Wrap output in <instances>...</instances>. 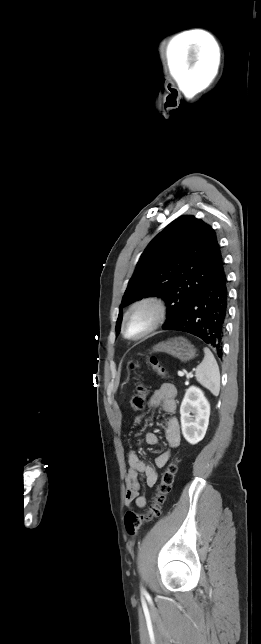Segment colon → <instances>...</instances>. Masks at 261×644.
<instances>
[{
    "mask_svg": "<svg viewBox=\"0 0 261 644\" xmlns=\"http://www.w3.org/2000/svg\"><path fill=\"white\" fill-rule=\"evenodd\" d=\"M146 364L153 369L160 376H167L165 368L159 363L157 357L150 356L146 360ZM134 369L139 368V364L133 365ZM147 386L140 380L136 384V392L131 398L130 406L134 411L144 409L146 399L148 396ZM177 459L171 461L166 469L161 474V479L156 486L153 494L152 501L147 510L142 513L127 511L124 516L125 529L129 535H136L142 524L152 521L161 515L162 505L169 494L174 482L175 474L177 472Z\"/></svg>",
    "mask_w": 261,
    "mask_h": 644,
    "instance_id": "1",
    "label": "colon"
}]
</instances>
